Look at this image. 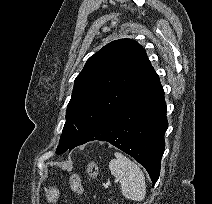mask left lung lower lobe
Wrapping results in <instances>:
<instances>
[{"instance_id": "left-lung-lower-lobe-1", "label": "left lung lower lobe", "mask_w": 212, "mask_h": 204, "mask_svg": "<svg viewBox=\"0 0 212 204\" xmlns=\"http://www.w3.org/2000/svg\"><path fill=\"white\" fill-rule=\"evenodd\" d=\"M167 127L164 91L154 73L84 131L73 148L93 140L107 141L143 165L154 185L160 174Z\"/></svg>"}]
</instances>
